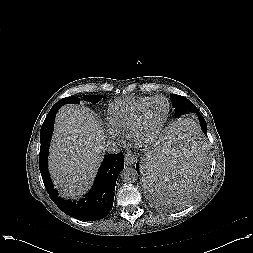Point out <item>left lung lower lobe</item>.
Segmentation results:
<instances>
[{
	"label": "left lung lower lobe",
	"mask_w": 253,
	"mask_h": 253,
	"mask_svg": "<svg viewBox=\"0 0 253 253\" xmlns=\"http://www.w3.org/2000/svg\"><path fill=\"white\" fill-rule=\"evenodd\" d=\"M200 125L205 130V120L200 115ZM207 125V124H206ZM207 135V130L204 132ZM173 156L165 154L154 158L155 167L142 171L151 203L160 209H171L191 198L198 188L207 168V157L202 141L180 148ZM136 170L141 171L137 162Z\"/></svg>",
	"instance_id": "1"
}]
</instances>
